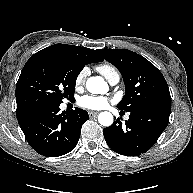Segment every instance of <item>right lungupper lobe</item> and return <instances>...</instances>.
I'll return each mask as SVG.
<instances>
[{"label":"right lung upper lobe","mask_w":193,"mask_h":193,"mask_svg":"<svg viewBox=\"0 0 193 193\" xmlns=\"http://www.w3.org/2000/svg\"><path fill=\"white\" fill-rule=\"evenodd\" d=\"M97 51L98 50L95 51L93 49L74 45L55 44L32 55L26 64L39 59H59L86 65L93 62L103 61V58L97 53ZM16 115L19 121L29 114L22 113L17 108Z\"/></svg>","instance_id":"cb5924a9"}]
</instances>
